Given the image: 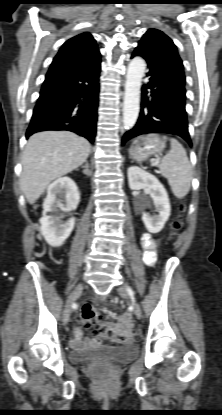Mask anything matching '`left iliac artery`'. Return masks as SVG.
<instances>
[{
	"label": "left iliac artery",
	"instance_id": "1",
	"mask_svg": "<svg viewBox=\"0 0 222 415\" xmlns=\"http://www.w3.org/2000/svg\"><path fill=\"white\" fill-rule=\"evenodd\" d=\"M127 290H128V293H129L131 296H133V295H134V292H133L130 288H128Z\"/></svg>",
	"mask_w": 222,
	"mask_h": 415
}]
</instances>
